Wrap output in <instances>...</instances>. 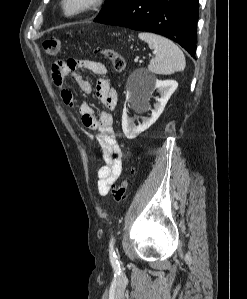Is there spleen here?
Masks as SVG:
<instances>
[{
    "mask_svg": "<svg viewBox=\"0 0 247 299\" xmlns=\"http://www.w3.org/2000/svg\"><path fill=\"white\" fill-rule=\"evenodd\" d=\"M138 37L148 43L149 48L155 53L148 69L155 74H172L184 70L186 60L180 48L169 39L153 34L139 33Z\"/></svg>",
    "mask_w": 247,
    "mask_h": 299,
    "instance_id": "spleen-1",
    "label": "spleen"
}]
</instances>
